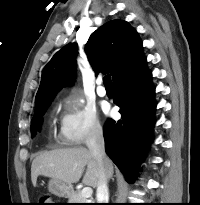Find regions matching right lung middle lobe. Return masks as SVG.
<instances>
[{
  "mask_svg": "<svg viewBox=\"0 0 200 205\" xmlns=\"http://www.w3.org/2000/svg\"><path fill=\"white\" fill-rule=\"evenodd\" d=\"M52 99L45 100L39 104V106L35 109L34 117L31 121V134L34 135L36 129H39L42 123V117L51 104Z\"/></svg>",
  "mask_w": 200,
  "mask_h": 205,
  "instance_id": "obj_1",
  "label": "right lung middle lobe"
}]
</instances>
